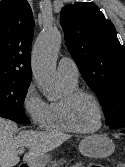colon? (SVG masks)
<instances>
[{
    "label": "colon",
    "mask_w": 125,
    "mask_h": 167,
    "mask_svg": "<svg viewBox=\"0 0 125 167\" xmlns=\"http://www.w3.org/2000/svg\"><path fill=\"white\" fill-rule=\"evenodd\" d=\"M117 167H125V162H120Z\"/></svg>",
    "instance_id": "5ec220e1"
}]
</instances>
